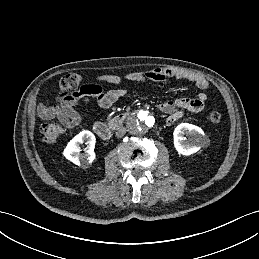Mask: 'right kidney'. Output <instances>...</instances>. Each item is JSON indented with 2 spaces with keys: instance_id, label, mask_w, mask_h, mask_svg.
I'll return each mask as SVG.
<instances>
[{
  "instance_id": "obj_1",
  "label": "right kidney",
  "mask_w": 259,
  "mask_h": 259,
  "mask_svg": "<svg viewBox=\"0 0 259 259\" xmlns=\"http://www.w3.org/2000/svg\"><path fill=\"white\" fill-rule=\"evenodd\" d=\"M86 141L88 150L85 153H80L79 145ZM95 136L90 131L84 130L77 134L64 149L63 155L76 165L86 166L93 162L96 155L94 152Z\"/></svg>"
}]
</instances>
